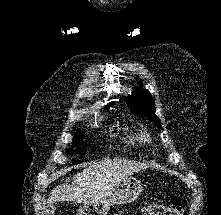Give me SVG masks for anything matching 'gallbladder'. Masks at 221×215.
Returning <instances> with one entry per match:
<instances>
[{"mask_svg":"<svg viewBox=\"0 0 221 215\" xmlns=\"http://www.w3.org/2000/svg\"><path fill=\"white\" fill-rule=\"evenodd\" d=\"M55 207L53 205H47L46 215H54Z\"/></svg>","mask_w":221,"mask_h":215,"instance_id":"gallbladder-1","label":"gallbladder"}]
</instances>
